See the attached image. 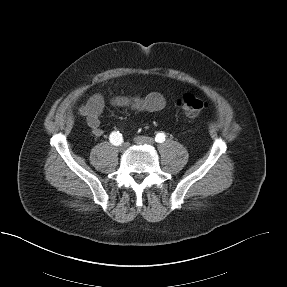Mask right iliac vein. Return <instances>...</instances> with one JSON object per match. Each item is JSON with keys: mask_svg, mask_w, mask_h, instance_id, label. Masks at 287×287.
Here are the masks:
<instances>
[{"mask_svg": "<svg viewBox=\"0 0 287 287\" xmlns=\"http://www.w3.org/2000/svg\"><path fill=\"white\" fill-rule=\"evenodd\" d=\"M129 147L128 143H124L119 147L120 152H125Z\"/></svg>", "mask_w": 287, "mask_h": 287, "instance_id": "right-iliac-vein-1", "label": "right iliac vein"}]
</instances>
